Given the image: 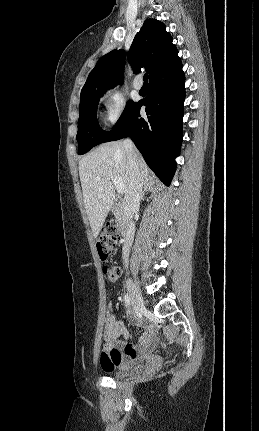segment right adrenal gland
Here are the masks:
<instances>
[{
	"label": "right adrenal gland",
	"instance_id": "1",
	"mask_svg": "<svg viewBox=\"0 0 259 431\" xmlns=\"http://www.w3.org/2000/svg\"><path fill=\"white\" fill-rule=\"evenodd\" d=\"M153 186H152V184H147V185H145V187H144V191H143V193H142V197H141V200H143V197H144V194H145V192H147V191H153Z\"/></svg>",
	"mask_w": 259,
	"mask_h": 431
}]
</instances>
